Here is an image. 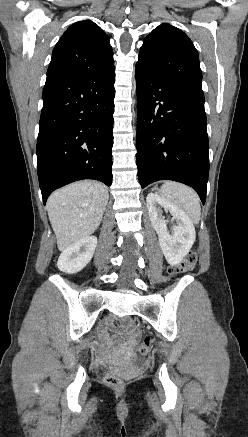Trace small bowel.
I'll return each instance as SVG.
<instances>
[{
    "mask_svg": "<svg viewBox=\"0 0 248 437\" xmlns=\"http://www.w3.org/2000/svg\"><path fill=\"white\" fill-rule=\"evenodd\" d=\"M121 334L125 336V341L122 344H119L117 347L119 349H126L129 346H132L136 341V334L131 330L130 324L126 323L121 326Z\"/></svg>",
    "mask_w": 248,
    "mask_h": 437,
    "instance_id": "c3829d8e",
    "label": "small bowel"
}]
</instances>
